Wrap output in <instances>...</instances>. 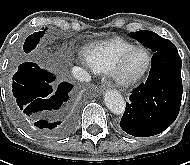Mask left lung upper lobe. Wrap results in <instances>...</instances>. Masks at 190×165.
<instances>
[{
	"instance_id": "1",
	"label": "left lung upper lobe",
	"mask_w": 190,
	"mask_h": 165,
	"mask_svg": "<svg viewBox=\"0 0 190 165\" xmlns=\"http://www.w3.org/2000/svg\"><path fill=\"white\" fill-rule=\"evenodd\" d=\"M130 37L137 39L144 46L150 48L153 52L160 50L163 47L172 44L171 41L164 39L154 32L148 30H141L137 32H131L128 34Z\"/></svg>"
}]
</instances>
